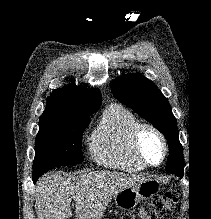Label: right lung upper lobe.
Here are the masks:
<instances>
[{
    "mask_svg": "<svg viewBox=\"0 0 211 219\" xmlns=\"http://www.w3.org/2000/svg\"><path fill=\"white\" fill-rule=\"evenodd\" d=\"M101 100L98 89L86 90L71 84L55 90L50 95L44 114L49 116L93 114L100 107Z\"/></svg>",
    "mask_w": 211,
    "mask_h": 219,
    "instance_id": "right-lung-upper-lobe-1",
    "label": "right lung upper lobe"
}]
</instances>
